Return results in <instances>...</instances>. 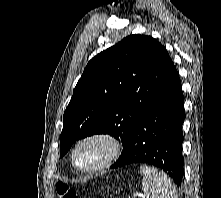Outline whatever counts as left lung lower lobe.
Listing matches in <instances>:
<instances>
[{"label":"left lung lower lobe","mask_w":221,"mask_h":198,"mask_svg":"<svg viewBox=\"0 0 221 198\" xmlns=\"http://www.w3.org/2000/svg\"><path fill=\"white\" fill-rule=\"evenodd\" d=\"M184 97L176 67L144 112L111 168L148 163L166 171L177 185L183 177L182 157Z\"/></svg>","instance_id":"obj_1"}]
</instances>
